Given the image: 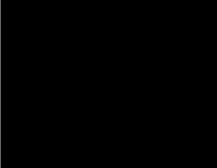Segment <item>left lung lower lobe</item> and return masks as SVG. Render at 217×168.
<instances>
[{
  "label": "left lung lower lobe",
  "instance_id": "obj_1",
  "mask_svg": "<svg viewBox=\"0 0 217 168\" xmlns=\"http://www.w3.org/2000/svg\"><path fill=\"white\" fill-rule=\"evenodd\" d=\"M179 114L178 104L148 98L128 108L121 120L124 131L138 139L149 140L163 136Z\"/></svg>",
  "mask_w": 217,
  "mask_h": 168
}]
</instances>
